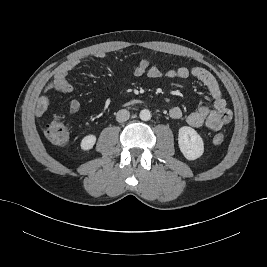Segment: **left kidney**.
Segmentation results:
<instances>
[{"instance_id":"left-kidney-1","label":"left kidney","mask_w":267,"mask_h":267,"mask_svg":"<svg viewBox=\"0 0 267 267\" xmlns=\"http://www.w3.org/2000/svg\"><path fill=\"white\" fill-rule=\"evenodd\" d=\"M178 144L180 151L188 160H195L201 157L204 152V143L201 136L188 126L179 129Z\"/></svg>"}]
</instances>
